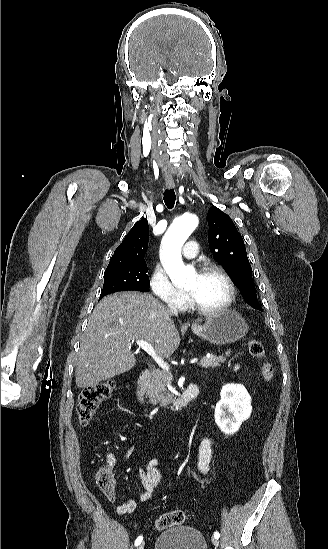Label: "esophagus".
I'll list each match as a JSON object with an SVG mask.
<instances>
[{
    "mask_svg": "<svg viewBox=\"0 0 328 549\" xmlns=\"http://www.w3.org/2000/svg\"><path fill=\"white\" fill-rule=\"evenodd\" d=\"M165 183H166V186H167L169 189H172L173 187H175L174 180H165Z\"/></svg>",
    "mask_w": 328,
    "mask_h": 549,
    "instance_id": "obj_1",
    "label": "esophagus"
}]
</instances>
